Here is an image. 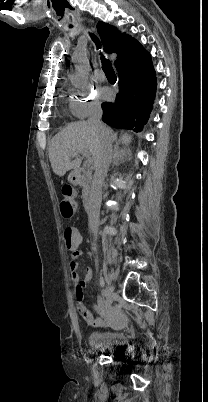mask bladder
<instances>
[{
  "instance_id": "31cf9c89",
  "label": "bladder",
  "mask_w": 208,
  "mask_h": 402,
  "mask_svg": "<svg viewBox=\"0 0 208 402\" xmlns=\"http://www.w3.org/2000/svg\"><path fill=\"white\" fill-rule=\"evenodd\" d=\"M88 344L93 348L120 349L122 346V336L114 331L92 330Z\"/></svg>"
}]
</instances>
